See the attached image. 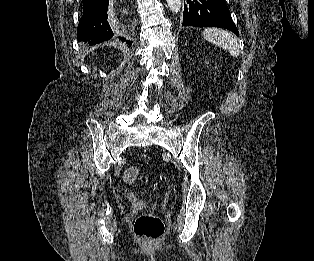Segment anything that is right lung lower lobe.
<instances>
[{
  "label": "right lung lower lobe",
  "mask_w": 314,
  "mask_h": 261,
  "mask_svg": "<svg viewBox=\"0 0 314 261\" xmlns=\"http://www.w3.org/2000/svg\"><path fill=\"white\" fill-rule=\"evenodd\" d=\"M83 15L77 28V39L91 45L117 38L122 42L126 39L116 35L108 22L109 0H82ZM128 42V41H126Z\"/></svg>",
  "instance_id": "1"
}]
</instances>
